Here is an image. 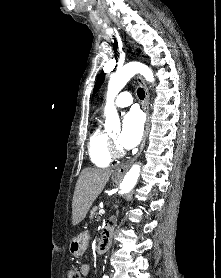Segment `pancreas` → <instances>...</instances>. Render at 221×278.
Returning a JSON list of instances; mask_svg holds the SVG:
<instances>
[{
  "label": "pancreas",
  "instance_id": "1",
  "mask_svg": "<svg viewBox=\"0 0 221 278\" xmlns=\"http://www.w3.org/2000/svg\"><path fill=\"white\" fill-rule=\"evenodd\" d=\"M98 207L97 206H95V207H93V209L91 210V213H90V220H92L97 214H98Z\"/></svg>",
  "mask_w": 221,
  "mask_h": 278
}]
</instances>
